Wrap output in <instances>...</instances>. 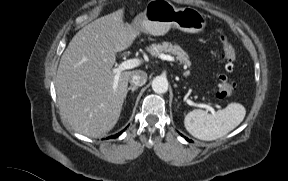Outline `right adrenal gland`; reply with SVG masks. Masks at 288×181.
I'll return each mask as SVG.
<instances>
[{"instance_id": "right-adrenal-gland-1", "label": "right adrenal gland", "mask_w": 288, "mask_h": 181, "mask_svg": "<svg viewBox=\"0 0 288 181\" xmlns=\"http://www.w3.org/2000/svg\"><path fill=\"white\" fill-rule=\"evenodd\" d=\"M138 89V87L137 86H130L129 88H127V90H126V95H127V93L131 90L132 91V93L135 91V90H137Z\"/></svg>"}]
</instances>
